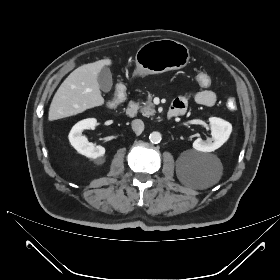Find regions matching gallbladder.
<instances>
[{"mask_svg":"<svg viewBox=\"0 0 280 280\" xmlns=\"http://www.w3.org/2000/svg\"><path fill=\"white\" fill-rule=\"evenodd\" d=\"M97 81L100 89L103 92H110L113 82H112V74L108 67H103L98 74Z\"/></svg>","mask_w":280,"mask_h":280,"instance_id":"obj_1","label":"gallbladder"}]
</instances>
